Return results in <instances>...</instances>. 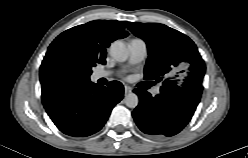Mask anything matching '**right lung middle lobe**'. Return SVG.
Instances as JSON below:
<instances>
[{"mask_svg": "<svg viewBox=\"0 0 248 158\" xmlns=\"http://www.w3.org/2000/svg\"><path fill=\"white\" fill-rule=\"evenodd\" d=\"M81 66L92 68L94 64L89 63L71 49H63L56 56L54 67L56 72L61 76H70Z\"/></svg>", "mask_w": 248, "mask_h": 158, "instance_id": "dd1d6c3e", "label": "right lung middle lobe"}]
</instances>
